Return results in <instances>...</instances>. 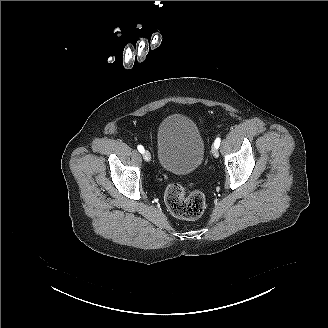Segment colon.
<instances>
[{
    "label": "colon",
    "mask_w": 328,
    "mask_h": 328,
    "mask_svg": "<svg viewBox=\"0 0 328 328\" xmlns=\"http://www.w3.org/2000/svg\"><path fill=\"white\" fill-rule=\"evenodd\" d=\"M191 184L173 183L165 191V204L170 213L180 219L200 218L206 208L205 195L199 190H191Z\"/></svg>",
    "instance_id": "colon-1"
}]
</instances>
